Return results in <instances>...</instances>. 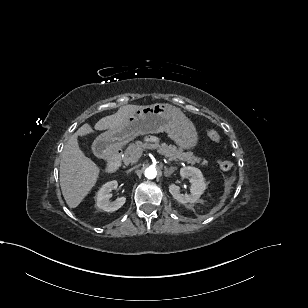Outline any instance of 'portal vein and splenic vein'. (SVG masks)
<instances>
[{
  "label": "portal vein and splenic vein",
  "instance_id": "1",
  "mask_svg": "<svg viewBox=\"0 0 308 308\" xmlns=\"http://www.w3.org/2000/svg\"><path fill=\"white\" fill-rule=\"evenodd\" d=\"M169 160H175V158H169Z\"/></svg>",
  "mask_w": 308,
  "mask_h": 308
}]
</instances>
